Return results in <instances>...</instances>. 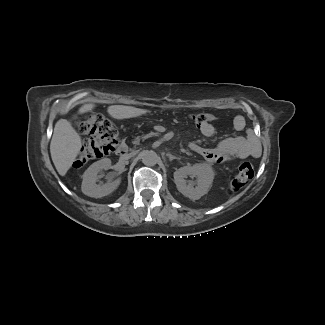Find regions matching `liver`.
Segmentation results:
<instances>
[{"mask_svg":"<svg viewBox=\"0 0 325 325\" xmlns=\"http://www.w3.org/2000/svg\"><path fill=\"white\" fill-rule=\"evenodd\" d=\"M94 108L95 104L87 103L79 108L78 113L91 112ZM107 112L115 119H128L144 115L149 110L125 105H112L108 107ZM73 118L75 119L76 116ZM81 147V137L71 122L66 119L57 121L50 143V153L55 168L61 176H65L71 168L72 163L80 153Z\"/></svg>","mask_w":325,"mask_h":325,"instance_id":"6515ba94","label":"liver"}]
</instances>
